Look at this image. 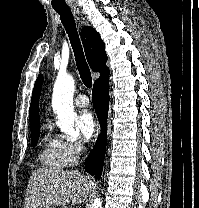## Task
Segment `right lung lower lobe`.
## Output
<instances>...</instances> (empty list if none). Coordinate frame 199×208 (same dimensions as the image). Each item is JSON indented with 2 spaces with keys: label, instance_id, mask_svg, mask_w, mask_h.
<instances>
[{
  "label": "right lung lower lobe",
  "instance_id": "obj_1",
  "mask_svg": "<svg viewBox=\"0 0 199 208\" xmlns=\"http://www.w3.org/2000/svg\"><path fill=\"white\" fill-rule=\"evenodd\" d=\"M108 82L109 79L107 78L98 83H94L92 90L93 106L100 122L101 134L97 139L94 149L85 160V168L97 179H100L102 174L107 142L106 124L109 105Z\"/></svg>",
  "mask_w": 199,
  "mask_h": 208
}]
</instances>
